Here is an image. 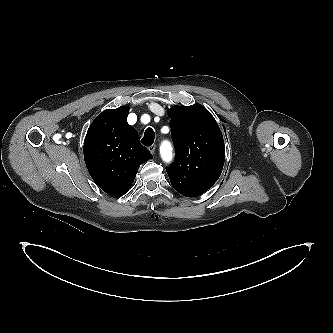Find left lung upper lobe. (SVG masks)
<instances>
[{
  "instance_id": "left-lung-upper-lobe-1",
  "label": "left lung upper lobe",
  "mask_w": 333,
  "mask_h": 333,
  "mask_svg": "<svg viewBox=\"0 0 333 333\" xmlns=\"http://www.w3.org/2000/svg\"><path fill=\"white\" fill-rule=\"evenodd\" d=\"M175 160L166 170L174 189L186 197L207 191L220 177L225 146L214 117L201 105L168 110Z\"/></svg>"
}]
</instances>
